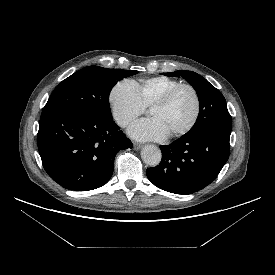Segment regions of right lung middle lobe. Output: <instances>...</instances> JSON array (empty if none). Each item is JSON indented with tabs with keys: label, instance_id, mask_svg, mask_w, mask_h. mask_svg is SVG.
Segmentation results:
<instances>
[{
	"label": "right lung middle lobe",
	"instance_id": "right-lung-middle-lobe-1",
	"mask_svg": "<svg viewBox=\"0 0 275 275\" xmlns=\"http://www.w3.org/2000/svg\"><path fill=\"white\" fill-rule=\"evenodd\" d=\"M137 73L135 70L85 67L60 82L44 110L80 109L112 119L109 107L111 89L119 80Z\"/></svg>",
	"mask_w": 275,
	"mask_h": 275
}]
</instances>
